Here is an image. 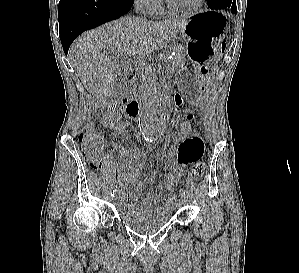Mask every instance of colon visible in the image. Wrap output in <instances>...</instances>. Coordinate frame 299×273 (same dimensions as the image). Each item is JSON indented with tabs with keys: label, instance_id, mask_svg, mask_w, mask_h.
Masks as SVG:
<instances>
[{
	"label": "colon",
	"instance_id": "1",
	"mask_svg": "<svg viewBox=\"0 0 299 273\" xmlns=\"http://www.w3.org/2000/svg\"><path fill=\"white\" fill-rule=\"evenodd\" d=\"M224 49V45H221V50ZM194 114H188L177 125V142H182L187 139L194 132ZM79 141L82 147L83 155L93 170H99L100 168V156L102 152V141L99 135L90 127L85 128L80 136ZM206 170L205 163L198 161L192 167V175L194 179H200Z\"/></svg>",
	"mask_w": 299,
	"mask_h": 273
}]
</instances>
